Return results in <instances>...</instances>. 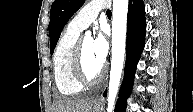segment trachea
<instances>
[{"label":"trachea","instance_id":"1","mask_svg":"<svg viewBox=\"0 0 193 112\" xmlns=\"http://www.w3.org/2000/svg\"><path fill=\"white\" fill-rule=\"evenodd\" d=\"M107 15H111L112 14V12L110 11V10H107Z\"/></svg>","mask_w":193,"mask_h":112}]
</instances>
